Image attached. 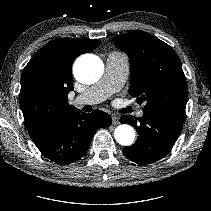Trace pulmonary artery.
Wrapping results in <instances>:
<instances>
[{
	"label": "pulmonary artery",
	"mask_w": 211,
	"mask_h": 211,
	"mask_svg": "<svg viewBox=\"0 0 211 211\" xmlns=\"http://www.w3.org/2000/svg\"><path fill=\"white\" fill-rule=\"evenodd\" d=\"M128 73L129 63L126 56L115 51L109 53L105 63V73L100 83L77 96L74 103L93 105L106 100L123 86ZM143 114L142 110L137 113L139 117Z\"/></svg>",
	"instance_id": "1"
}]
</instances>
